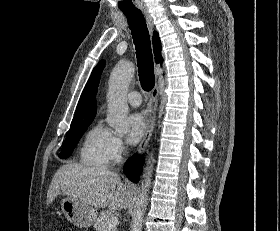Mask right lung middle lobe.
Instances as JSON below:
<instances>
[{
    "mask_svg": "<svg viewBox=\"0 0 280 231\" xmlns=\"http://www.w3.org/2000/svg\"><path fill=\"white\" fill-rule=\"evenodd\" d=\"M91 122H87L70 128L63 143L62 151L58 155L60 158H68L72 154L73 149L75 148L76 144L78 143L88 126L91 124Z\"/></svg>",
    "mask_w": 280,
    "mask_h": 231,
    "instance_id": "obj_1",
    "label": "right lung middle lobe"
}]
</instances>
